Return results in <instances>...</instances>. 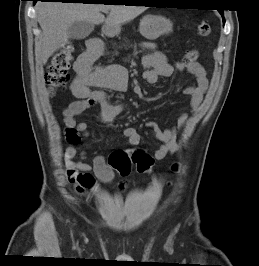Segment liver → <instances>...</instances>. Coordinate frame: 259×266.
<instances>
[{
  "label": "liver",
  "instance_id": "1",
  "mask_svg": "<svg viewBox=\"0 0 259 266\" xmlns=\"http://www.w3.org/2000/svg\"><path fill=\"white\" fill-rule=\"evenodd\" d=\"M145 10V6L39 2L36 11L42 29L40 59L46 64L57 50L68 44V28L74 22H105L106 29L115 28L132 21ZM108 11L110 13L105 19L101 12Z\"/></svg>",
  "mask_w": 259,
  "mask_h": 266
}]
</instances>
